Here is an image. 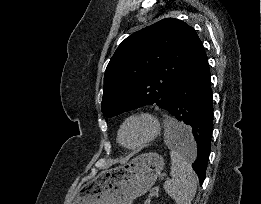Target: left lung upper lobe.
<instances>
[{
	"mask_svg": "<svg viewBox=\"0 0 261 204\" xmlns=\"http://www.w3.org/2000/svg\"><path fill=\"white\" fill-rule=\"evenodd\" d=\"M197 40L195 30L175 18L126 38L105 71L103 115L113 117L152 103L166 109Z\"/></svg>",
	"mask_w": 261,
	"mask_h": 204,
	"instance_id": "5c2ea615",
	"label": "left lung upper lobe"
}]
</instances>
